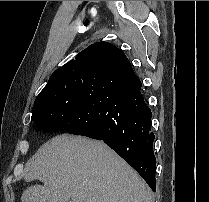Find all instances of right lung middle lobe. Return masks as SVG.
<instances>
[{
	"instance_id": "obj_1",
	"label": "right lung middle lobe",
	"mask_w": 209,
	"mask_h": 202,
	"mask_svg": "<svg viewBox=\"0 0 209 202\" xmlns=\"http://www.w3.org/2000/svg\"><path fill=\"white\" fill-rule=\"evenodd\" d=\"M90 74L77 73L49 80L37 96L32 120L40 130L58 132L79 108Z\"/></svg>"
}]
</instances>
